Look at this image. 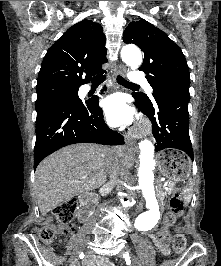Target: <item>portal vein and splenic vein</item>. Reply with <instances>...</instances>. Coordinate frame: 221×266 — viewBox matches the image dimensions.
<instances>
[{
    "label": "portal vein and splenic vein",
    "mask_w": 221,
    "mask_h": 266,
    "mask_svg": "<svg viewBox=\"0 0 221 266\" xmlns=\"http://www.w3.org/2000/svg\"><path fill=\"white\" fill-rule=\"evenodd\" d=\"M164 186H167V182L164 183ZM165 189H168L167 187H165Z\"/></svg>",
    "instance_id": "18ae733b"
}]
</instances>
